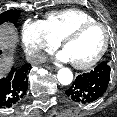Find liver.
<instances>
[{"instance_id":"obj_1","label":"liver","mask_w":117,"mask_h":117,"mask_svg":"<svg viewBox=\"0 0 117 117\" xmlns=\"http://www.w3.org/2000/svg\"><path fill=\"white\" fill-rule=\"evenodd\" d=\"M17 42L18 35L12 26H0V49L9 50L10 53H13ZM12 58V56L0 57V73L9 68Z\"/></svg>"}]
</instances>
